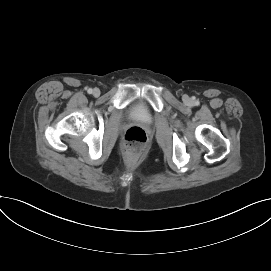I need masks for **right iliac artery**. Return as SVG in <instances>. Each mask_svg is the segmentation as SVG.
<instances>
[{"instance_id":"obj_1","label":"right iliac artery","mask_w":271,"mask_h":271,"mask_svg":"<svg viewBox=\"0 0 271 271\" xmlns=\"http://www.w3.org/2000/svg\"><path fill=\"white\" fill-rule=\"evenodd\" d=\"M87 92H88L89 94H92L93 90H92L91 88H89V89L87 90Z\"/></svg>"}]
</instances>
